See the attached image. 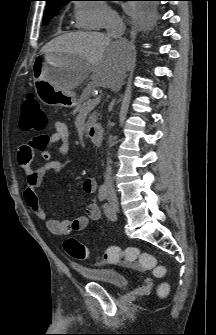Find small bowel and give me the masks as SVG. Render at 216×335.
<instances>
[{"label":"small bowel","instance_id":"c3829d8e","mask_svg":"<svg viewBox=\"0 0 216 335\" xmlns=\"http://www.w3.org/2000/svg\"><path fill=\"white\" fill-rule=\"evenodd\" d=\"M54 133L44 136L43 146L38 148L34 142L29 145H23L18 152V162L26 174V189L24 198L27 205L31 208L35 216L44 221L47 229L59 236L69 235L71 232L83 231L91 221H98L101 218V212L98 204L91 201L86 206V215H81L73 220H55L48 218L46 211L40 203L36 189L40 186L42 179L47 171L60 172L64 168L62 159H54L51 154V148L58 145L60 157L67 154L69 150V129L64 122L56 121L54 123ZM35 155H39L44 163L38 167H32V160ZM82 189L86 193H93L96 189L94 178H86L83 181Z\"/></svg>","mask_w":216,"mask_h":335}]
</instances>
